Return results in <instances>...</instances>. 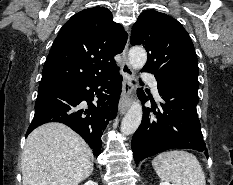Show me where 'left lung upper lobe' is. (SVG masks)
Wrapping results in <instances>:
<instances>
[{
	"label": "left lung upper lobe",
	"mask_w": 233,
	"mask_h": 185,
	"mask_svg": "<svg viewBox=\"0 0 233 185\" xmlns=\"http://www.w3.org/2000/svg\"><path fill=\"white\" fill-rule=\"evenodd\" d=\"M130 42L144 46L148 59L142 70L154 74L157 81L199 84L193 43L176 19L155 10H145L133 25Z\"/></svg>",
	"instance_id": "1"
}]
</instances>
